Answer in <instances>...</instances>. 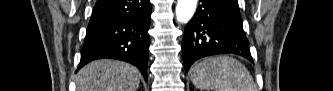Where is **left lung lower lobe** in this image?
<instances>
[{
    "instance_id": "0a47b994",
    "label": "left lung lower lobe",
    "mask_w": 333,
    "mask_h": 91,
    "mask_svg": "<svg viewBox=\"0 0 333 91\" xmlns=\"http://www.w3.org/2000/svg\"><path fill=\"white\" fill-rule=\"evenodd\" d=\"M186 25L182 49L185 70L198 59L234 53L252 61L237 0H200Z\"/></svg>"
}]
</instances>
